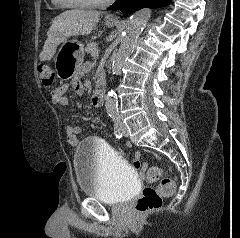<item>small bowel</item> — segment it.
Returning <instances> with one entry per match:
<instances>
[{"label":"small bowel","mask_w":240,"mask_h":238,"mask_svg":"<svg viewBox=\"0 0 240 238\" xmlns=\"http://www.w3.org/2000/svg\"><path fill=\"white\" fill-rule=\"evenodd\" d=\"M88 65L86 66V68ZM69 89H72L76 94L81 95L83 93V86L81 82L77 79L73 80L71 83H64L52 90L51 92V101L55 106L67 107L69 105V100L66 96V93ZM81 132L79 126H67L66 135L67 142L71 146H77L79 143L78 135ZM126 148H135V143H126ZM119 154H126V149H119ZM143 156V151H134V156H131L130 166L135 168V171H138V174H145L147 171V164L141 162V157Z\"/></svg>","instance_id":"c3829d8e"}]
</instances>
